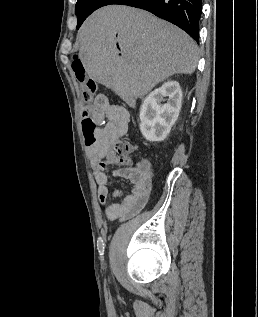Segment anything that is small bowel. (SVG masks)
Masks as SVG:
<instances>
[{"mask_svg": "<svg viewBox=\"0 0 258 317\" xmlns=\"http://www.w3.org/2000/svg\"><path fill=\"white\" fill-rule=\"evenodd\" d=\"M89 109L101 118L103 124L100 142L93 147H88L99 201L105 203L108 197L117 199L105 209V215L109 220L132 218L145 207L152 194V164L147 159H141L134 164L129 163L117 169L113 176L128 180L131 188L126 194L122 190L111 191L106 170L108 165L114 162L109 152L114 142L127 133L131 116L126 108L110 104L103 95H98L94 105ZM85 112L86 108L83 110L82 117Z\"/></svg>", "mask_w": 258, "mask_h": 317, "instance_id": "c3829d8e", "label": "small bowel"}]
</instances>
